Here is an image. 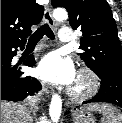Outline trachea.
I'll use <instances>...</instances> for the list:
<instances>
[{
  "label": "trachea",
  "instance_id": "obj_1",
  "mask_svg": "<svg viewBox=\"0 0 122 123\" xmlns=\"http://www.w3.org/2000/svg\"><path fill=\"white\" fill-rule=\"evenodd\" d=\"M44 35L52 40L55 38L53 31L47 23L38 28L37 31L29 37L28 44L36 45Z\"/></svg>",
  "mask_w": 122,
  "mask_h": 123
}]
</instances>
